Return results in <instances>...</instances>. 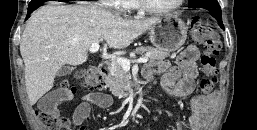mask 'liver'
<instances>
[{"label":"liver","mask_w":257,"mask_h":130,"mask_svg":"<svg viewBox=\"0 0 257 130\" xmlns=\"http://www.w3.org/2000/svg\"><path fill=\"white\" fill-rule=\"evenodd\" d=\"M158 20H128L102 9L57 2L40 7L27 21L20 42L30 104L51 90L62 66L86 62L93 43L105 40L110 48H126Z\"/></svg>","instance_id":"6515ba94"}]
</instances>
